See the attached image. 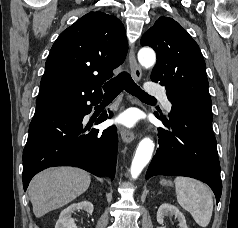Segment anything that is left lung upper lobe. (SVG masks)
Returning <instances> with one entry per match:
<instances>
[{
	"label": "left lung upper lobe",
	"mask_w": 238,
	"mask_h": 228,
	"mask_svg": "<svg viewBox=\"0 0 238 228\" xmlns=\"http://www.w3.org/2000/svg\"><path fill=\"white\" fill-rule=\"evenodd\" d=\"M141 45L155 50L151 79L165 86L169 101L212 116L205 61L186 30L172 18L160 17L142 36Z\"/></svg>",
	"instance_id": "1"
}]
</instances>
